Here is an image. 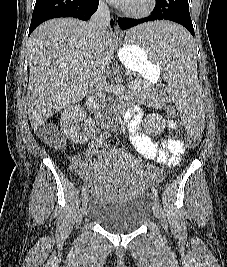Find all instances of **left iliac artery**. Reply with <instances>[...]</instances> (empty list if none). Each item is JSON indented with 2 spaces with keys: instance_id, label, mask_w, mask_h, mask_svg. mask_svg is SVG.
Segmentation results:
<instances>
[{
  "instance_id": "1",
  "label": "left iliac artery",
  "mask_w": 227,
  "mask_h": 267,
  "mask_svg": "<svg viewBox=\"0 0 227 267\" xmlns=\"http://www.w3.org/2000/svg\"><path fill=\"white\" fill-rule=\"evenodd\" d=\"M152 193L155 196V198L158 199V192H157V190L154 187H152Z\"/></svg>"
}]
</instances>
